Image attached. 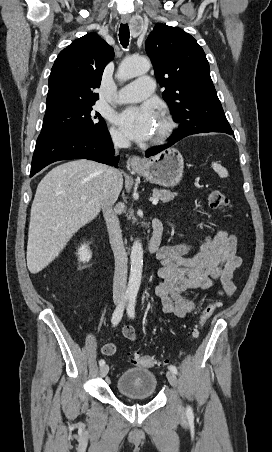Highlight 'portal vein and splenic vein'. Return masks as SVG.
<instances>
[{
    "instance_id": "1",
    "label": "portal vein and splenic vein",
    "mask_w": 272,
    "mask_h": 452,
    "mask_svg": "<svg viewBox=\"0 0 272 452\" xmlns=\"http://www.w3.org/2000/svg\"><path fill=\"white\" fill-rule=\"evenodd\" d=\"M151 201H152V204H153V205H157L159 199H158V197H153V198L151 199Z\"/></svg>"
}]
</instances>
